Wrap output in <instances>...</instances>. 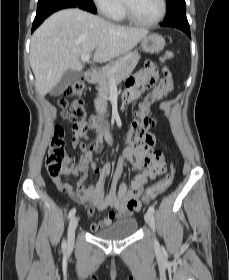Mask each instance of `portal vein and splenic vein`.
<instances>
[{
	"mask_svg": "<svg viewBox=\"0 0 229 280\" xmlns=\"http://www.w3.org/2000/svg\"><path fill=\"white\" fill-rule=\"evenodd\" d=\"M89 59H90V54H84L81 56V60L83 62H87V61H89ZM116 70L117 69L112 70L111 72H109V74H111V76H112V73L115 72Z\"/></svg>",
	"mask_w": 229,
	"mask_h": 280,
	"instance_id": "obj_1",
	"label": "portal vein and splenic vein"
}]
</instances>
